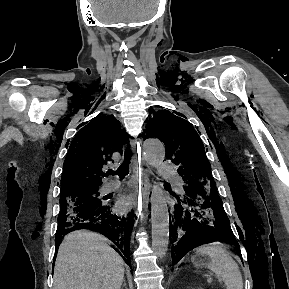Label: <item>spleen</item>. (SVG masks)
I'll use <instances>...</instances> for the list:
<instances>
[{
  "label": "spleen",
  "instance_id": "obj_1",
  "mask_svg": "<svg viewBox=\"0 0 289 289\" xmlns=\"http://www.w3.org/2000/svg\"><path fill=\"white\" fill-rule=\"evenodd\" d=\"M195 254L210 258L207 268L224 282L226 289H243V279L238 264L222 244L218 242L203 244L196 248ZM193 263L197 265L194 259Z\"/></svg>",
  "mask_w": 289,
  "mask_h": 289
}]
</instances>
